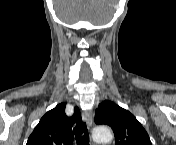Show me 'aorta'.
I'll return each mask as SVG.
<instances>
[{
    "label": "aorta",
    "mask_w": 176,
    "mask_h": 145,
    "mask_svg": "<svg viewBox=\"0 0 176 145\" xmlns=\"http://www.w3.org/2000/svg\"><path fill=\"white\" fill-rule=\"evenodd\" d=\"M92 138L96 143H108L112 140L113 134L106 126H97L92 131Z\"/></svg>",
    "instance_id": "obj_1"
}]
</instances>
